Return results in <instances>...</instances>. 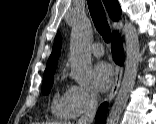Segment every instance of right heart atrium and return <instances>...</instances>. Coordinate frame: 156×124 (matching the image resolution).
I'll return each instance as SVG.
<instances>
[{
    "instance_id": "d8ad5b80",
    "label": "right heart atrium",
    "mask_w": 156,
    "mask_h": 124,
    "mask_svg": "<svg viewBox=\"0 0 156 124\" xmlns=\"http://www.w3.org/2000/svg\"><path fill=\"white\" fill-rule=\"evenodd\" d=\"M97 104V93L91 86L70 85L65 91L67 116L78 118L92 112Z\"/></svg>"
}]
</instances>
